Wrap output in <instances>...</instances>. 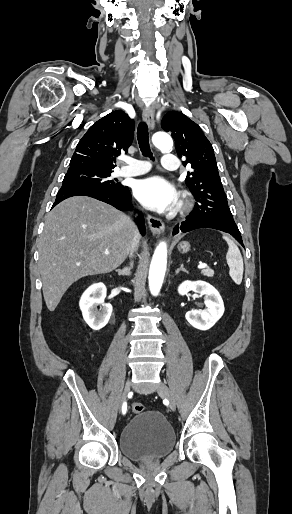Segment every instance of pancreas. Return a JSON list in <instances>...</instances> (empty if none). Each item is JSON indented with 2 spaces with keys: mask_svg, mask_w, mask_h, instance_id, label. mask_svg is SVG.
Listing matches in <instances>:
<instances>
[{
  "mask_svg": "<svg viewBox=\"0 0 292 514\" xmlns=\"http://www.w3.org/2000/svg\"><path fill=\"white\" fill-rule=\"evenodd\" d=\"M202 274L203 276H208V278H212L214 272L213 270H203Z\"/></svg>",
  "mask_w": 292,
  "mask_h": 514,
  "instance_id": "obj_1",
  "label": "pancreas"
}]
</instances>
